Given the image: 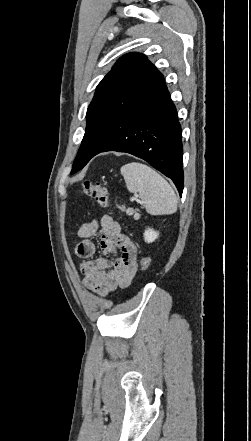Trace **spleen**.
<instances>
[{
    "mask_svg": "<svg viewBox=\"0 0 251 441\" xmlns=\"http://www.w3.org/2000/svg\"><path fill=\"white\" fill-rule=\"evenodd\" d=\"M127 189L138 193L141 204L151 215H168L177 210V198L170 184L151 167L131 162L120 169Z\"/></svg>",
    "mask_w": 251,
    "mask_h": 441,
    "instance_id": "obj_1",
    "label": "spleen"
}]
</instances>
